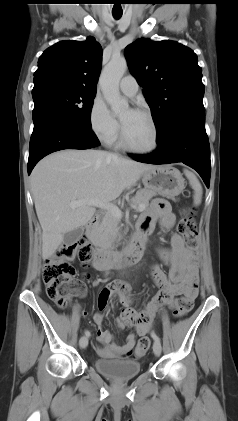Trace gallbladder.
<instances>
[{
    "mask_svg": "<svg viewBox=\"0 0 238 421\" xmlns=\"http://www.w3.org/2000/svg\"><path fill=\"white\" fill-rule=\"evenodd\" d=\"M83 234V228L79 227L77 229H74L70 232H67L64 235V242L67 245H72L74 244L76 241H78V239L82 236Z\"/></svg>",
    "mask_w": 238,
    "mask_h": 421,
    "instance_id": "bac80fb5",
    "label": "gallbladder"
}]
</instances>
